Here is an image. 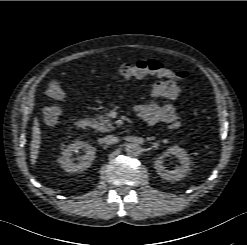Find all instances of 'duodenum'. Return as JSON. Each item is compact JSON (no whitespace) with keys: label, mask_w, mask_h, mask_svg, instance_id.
<instances>
[{"label":"duodenum","mask_w":247,"mask_h":245,"mask_svg":"<svg viewBox=\"0 0 247 245\" xmlns=\"http://www.w3.org/2000/svg\"><path fill=\"white\" fill-rule=\"evenodd\" d=\"M90 126V120L87 118H80L76 121V127L85 130Z\"/></svg>","instance_id":"1"}]
</instances>
